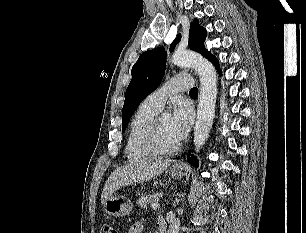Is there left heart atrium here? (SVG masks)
I'll return each mask as SVG.
<instances>
[{"label": "left heart atrium", "instance_id": "39dd6f15", "mask_svg": "<svg viewBox=\"0 0 306 233\" xmlns=\"http://www.w3.org/2000/svg\"><path fill=\"white\" fill-rule=\"evenodd\" d=\"M192 113L182 103H176L173 107L172 116L169 119V130L178 143L183 140L190 128Z\"/></svg>", "mask_w": 306, "mask_h": 233}]
</instances>
